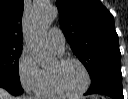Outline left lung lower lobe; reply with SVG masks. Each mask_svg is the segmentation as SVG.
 Returning <instances> with one entry per match:
<instances>
[{
  "label": "left lung lower lobe",
  "instance_id": "left-lung-lower-lobe-1",
  "mask_svg": "<svg viewBox=\"0 0 128 99\" xmlns=\"http://www.w3.org/2000/svg\"><path fill=\"white\" fill-rule=\"evenodd\" d=\"M91 81L92 84L85 95L104 94L113 99H124L121 66H103L91 77Z\"/></svg>",
  "mask_w": 128,
  "mask_h": 99
}]
</instances>
